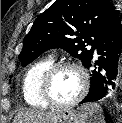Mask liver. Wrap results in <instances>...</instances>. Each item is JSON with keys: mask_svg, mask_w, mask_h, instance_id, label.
Returning <instances> with one entry per match:
<instances>
[{"mask_svg": "<svg viewBox=\"0 0 122 123\" xmlns=\"http://www.w3.org/2000/svg\"><path fill=\"white\" fill-rule=\"evenodd\" d=\"M59 112L44 110H27L19 112L14 123H49Z\"/></svg>", "mask_w": 122, "mask_h": 123, "instance_id": "1", "label": "liver"}]
</instances>
